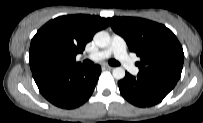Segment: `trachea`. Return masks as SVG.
<instances>
[{
	"instance_id": "1",
	"label": "trachea",
	"mask_w": 203,
	"mask_h": 123,
	"mask_svg": "<svg viewBox=\"0 0 203 123\" xmlns=\"http://www.w3.org/2000/svg\"><path fill=\"white\" fill-rule=\"evenodd\" d=\"M109 64H110L111 66H119V65H120V63H119L118 61L114 60V59L110 60V61H109ZM84 65H86V66H92V65H93V62H91V61H89V60H86V61L84 62Z\"/></svg>"
}]
</instances>
